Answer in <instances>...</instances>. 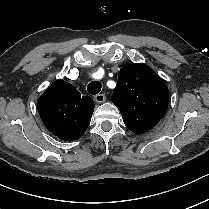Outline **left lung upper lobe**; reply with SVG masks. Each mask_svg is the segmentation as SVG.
Wrapping results in <instances>:
<instances>
[{
	"label": "left lung upper lobe",
	"instance_id": "obj_1",
	"mask_svg": "<svg viewBox=\"0 0 209 209\" xmlns=\"http://www.w3.org/2000/svg\"><path fill=\"white\" fill-rule=\"evenodd\" d=\"M126 127L141 134L151 130L164 116L169 91L165 82L147 65L130 64L118 73L111 98Z\"/></svg>",
	"mask_w": 209,
	"mask_h": 209
}]
</instances>
